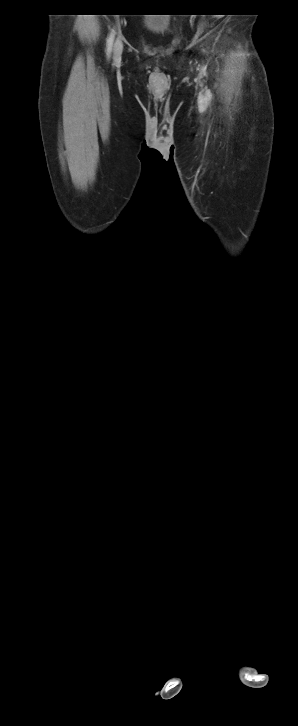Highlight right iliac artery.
I'll return each instance as SVG.
<instances>
[{"label": "right iliac artery", "mask_w": 298, "mask_h": 726, "mask_svg": "<svg viewBox=\"0 0 298 726\" xmlns=\"http://www.w3.org/2000/svg\"><path fill=\"white\" fill-rule=\"evenodd\" d=\"M114 31L111 32L108 41H107V56L109 57L112 51V45L114 41Z\"/></svg>", "instance_id": "right-iliac-artery-1"}]
</instances>
